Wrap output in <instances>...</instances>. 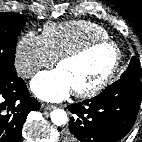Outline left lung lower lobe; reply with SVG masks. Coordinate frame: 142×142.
<instances>
[{
	"label": "left lung lower lobe",
	"instance_id": "left-lung-lower-lobe-1",
	"mask_svg": "<svg viewBox=\"0 0 142 142\" xmlns=\"http://www.w3.org/2000/svg\"><path fill=\"white\" fill-rule=\"evenodd\" d=\"M140 77L119 79L92 99L67 108L73 113L66 142H116L131 130L140 108Z\"/></svg>",
	"mask_w": 142,
	"mask_h": 142
}]
</instances>
